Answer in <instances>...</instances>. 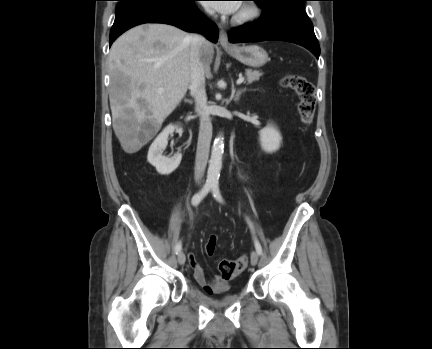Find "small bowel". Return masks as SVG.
Wrapping results in <instances>:
<instances>
[{"label": "small bowel", "mask_w": 432, "mask_h": 349, "mask_svg": "<svg viewBox=\"0 0 432 349\" xmlns=\"http://www.w3.org/2000/svg\"><path fill=\"white\" fill-rule=\"evenodd\" d=\"M188 260L194 273L195 280L208 292H215L227 287V282L220 276H215L211 280H207L202 267L198 263L194 254H189Z\"/></svg>", "instance_id": "obj_1"}]
</instances>
